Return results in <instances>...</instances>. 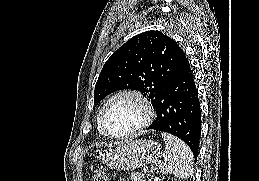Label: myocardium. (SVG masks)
<instances>
[{"label": "myocardium", "instance_id": "1", "mask_svg": "<svg viewBox=\"0 0 259 181\" xmlns=\"http://www.w3.org/2000/svg\"><path fill=\"white\" fill-rule=\"evenodd\" d=\"M121 97H132L136 101H138L143 109V118L141 123L134 128L133 130L126 132L124 134H113L111 133L106 125H105V112L108 108V106L116 99ZM155 116V111L153 108L152 103L149 101V99L139 90L136 89H123L120 90L113 95H111L106 102L103 104L100 112H99V125L105 135L108 137H111L113 139H128L132 138L139 133H141L144 129H146L153 121Z\"/></svg>", "mask_w": 259, "mask_h": 181}]
</instances>
